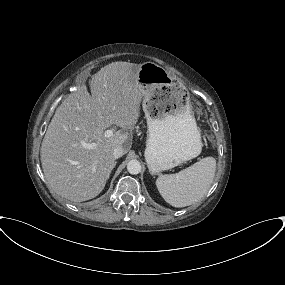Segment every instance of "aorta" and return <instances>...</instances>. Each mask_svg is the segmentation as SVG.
<instances>
[{
	"label": "aorta",
	"instance_id": "aorta-1",
	"mask_svg": "<svg viewBox=\"0 0 285 285\" xmlns=\"http://www.w3.org/2000/svg\"><path fill=\"white\" fill-rule=\"evenodd\" d=\"M127 170L130 174L136 175L141 172V164L138 160H130L127 163Z\"/></svg>",
	"mask_w": 285,
	"mask_h": 285
}]
</instances>
